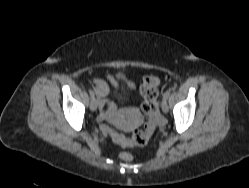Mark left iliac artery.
I'll return each instance as SVG.
<instances>
[{
    "instance_id": "44dca946",
    "label": "left iliac artery",
    "mask_w": 249,
    "mask_h": 188,
    "mask_svg": "<svg viewBox=\"0 0 249 188\" xmlns=\"http://www.w3.org/2000/svg\"><path fill=\"white\" fill-rule=\"evenodd\" d=\"M171 94V89L167 90L165 93H164V98L165 99H168V97L170 96Z\"/></svg>"
}]
</instances>
